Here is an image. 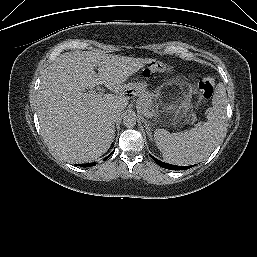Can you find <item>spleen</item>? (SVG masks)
Wrapping results in <instances>:
<instances>
[{
	"label": "spleen",
	"instance_id": "1",
	"mask_svg": "<svg viewBox=\"0 0 257 257\" xmlns=\"http://www.w3.org/2000/svg\"><path fill=\"white\" fill-rule=\"evenodd\" d=\"M213 107L207 121L189 131L169 133L165 129L154 132V140L165 162L191 165L205 160L224 137L226 127V91L219 84L212 99Z\"/></svg>",
	"mask_w": 257,
	"mask_h": 257
}]
</instances>
